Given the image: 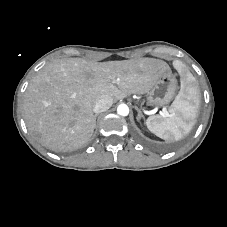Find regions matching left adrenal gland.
Masks as SVG:
<instances>
[{
  "instance_id": "1",
  "label": "left adrenal gland",
  "mask_w": 227,
  "mask_h": 227,
  "mask_svg": "<svg viewBox=\"0 0 227 227\" xmlns=\"http://www.w3.org/2000/svg\"><path fill=\"white\" fill-rule=\"evenodd\" d=\"M136 110L138 112V115L136 117L137 121H140L141 118L144 119V115L142 114L141 110L139 108L136 107Z\"/></svg>"
}]
</instances>
